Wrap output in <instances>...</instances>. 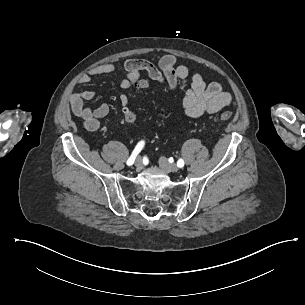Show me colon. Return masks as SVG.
I'll return each mask as SVG.
<instances>
[{"label": "colon", "mask_w": 305, "mask_h": 305, "mask_svg": "<svg viewBox=\"0 0 305 305\" xmlns=\"http://www.w3.org/2000/svg\"><path fill=\"white\" fill-rule=\"evenodd\" d=\"M149 86V82L145 79H142L139 81L138 83V88L140 90H145L147 89ZM137 87H134L132 89V92L134 94H137L139 92V89ZM232 116V113L229 112V111H224L222 113H220V119L222 120H227L229 119L230 117ZM137 120V114L134 112V111H130V112H127L124 116V122L128 123V124H132V123H135Z\"/></svg>", "instance_id": "obj_1"}]
</instances>
